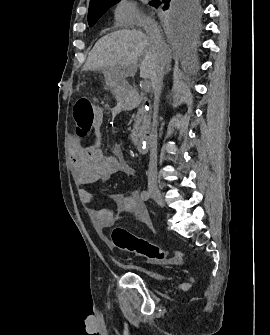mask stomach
I'll return each instance as SVG.
<instances>
[{"mask_svg":"<svg viewBox=\"0 0 270 335\" xmlns=\"http://www.w3.org/2000/svg\"><path fill=\"white\" fill-rule=\"evenodd\" d=\"M116 70L115 68H104V74L106 76V78H110V80H113V76L115 74ZM116 86V90H117V94H123V92H127V90H124V88H120V86H117V82H115Z\"/></svg>","mask_w":270,"mask_h":335,"instance_id":"0dacf381","label":"stomach"}]
</instances>
